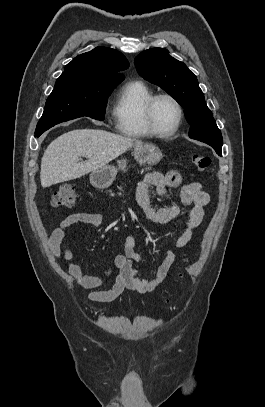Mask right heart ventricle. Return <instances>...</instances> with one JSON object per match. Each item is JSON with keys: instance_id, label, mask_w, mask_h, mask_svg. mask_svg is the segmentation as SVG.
<instances>
[{"instance_id": "obj_1", "label": "right heart ventricle", "mask_w": 265, "mask_h": 407, "mask_svg": "<svg viewBox=\"0 0 265 407\" xmlns=\"http://www.w3.org/2000/svg\"><path fill=\"white\" fill-rule=\"evenodd\" d=\"M153 95L150 87L138 80L130 81L121 88L113 107L119 133L131 138L152 136L144 121V107Z\"/></svg>"}]
</instances>
